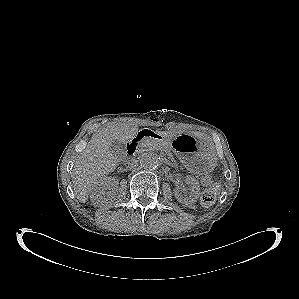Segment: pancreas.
Here are the masks:
<instances>
[{"label":"pancreas","instance_id":"pancreas-1","mask_svg":"<svg viewBox=\"0 0 299 299\" xmlns=\"http://www.w3.org/2000/svg\"><path fill=\"white\" fill-rule=\"evenodd\" d=\"M142 147L146 151H154V150H167L169 145L167 143L159 142L156 140H144L142 142Z\"/></svg>","mask_w":299,"mask_h":299}]
</instances>
